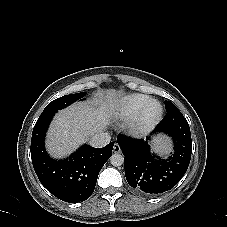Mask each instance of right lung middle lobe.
<instances>
[{
    "mask_svg": "<svg viewBox=\"0 0 227 227\" xmlns=\"http://www.w3.org/2000/svg\"><path fill=\"white\" fill-rule=\"evenodd\" d=\"M86 95L85 92H81V93H76V94H71V95H65L62 96L60 98H57L55 100H53L52 102H50L44 109L43 112L45 111H49V110H59L62 109L68 105H70L71 103L81 99L82 97H84Z\"/></svg>",
    "mask_w": 227,
    "mask_h": 227,
    "instance_id": "obj_1",
    "label": "right lung middle lobe"
}]
</instances>
